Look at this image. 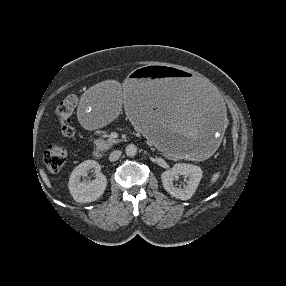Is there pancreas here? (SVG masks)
<instances>
[{
  "instance_id": "pancreas-1",
  "label": "pancreas",
  "mask_w": 286,
  "mask_h": 286,
  "mask_svg": "<svg viewBox=\"0 0 286 286\" xmlns=\"http://www.w3.org/2000/svg\"><path fill=\"white\" fill-rule=\"evenodd\" d=\"M118 142V139L108 138L106 141L103 139H98L94 142V144L96 145L97 149L107 150Z\"/></svg>"
}]
</instances>
